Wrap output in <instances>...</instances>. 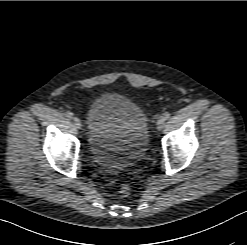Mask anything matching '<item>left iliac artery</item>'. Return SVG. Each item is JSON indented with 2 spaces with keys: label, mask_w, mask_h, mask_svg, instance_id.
Wrapping results in <instances>:
<instances>
[{
  "label": "left iliac artery",
  "mask_w": 247,
  "mask_h": 245,
  "mask_svg": "<svg viewBox=\"0 0 247 245\" xmlns=\"http://www.w3.org/2000/svg\"><path fill=\"white\" fill-rule=\"evenodd\" d=\"M170 117V112H165L162 116H161V119L163 121L167 120L168 118Z\"/></svg>",
  "instance_id": "44dca946"
}]
</instances>
